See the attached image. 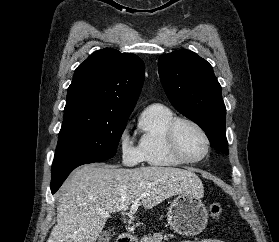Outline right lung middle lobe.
I'll use <instances>...</instances> for the list:
<instances>
[{"label":"right lung middle lobe","instance_id":"dd1d6c3e","mask_svg":"<svg viewBox=\"0 0 279 242\" xmlns=\"http://www.w3.org/2000/svg\"><path fill=\"white\" fill-rule=\"evenodd\" d=\"M128 118H99L80 112L64 114L51 183L82 164L112 158Z\"/></svg>","mask_w":279,"mask_h":242}]
</instances>
